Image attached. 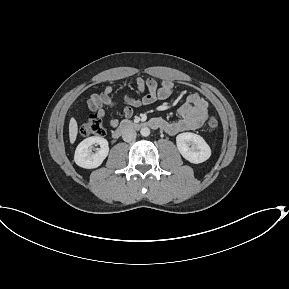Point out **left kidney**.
<instances>
[{
    "mask_svg": "<svg viewBox=\"0 0 289 289\" xmlns=\"http://www.w3.org/2000/svg\"><path fill=\"white\" fill-rule=\"evenodd\" d=\"M176 144L181 155L191 163H202L211 156L209 145L200 135L181 133L176 137Z\"/></svg>",
    "mask_w": 289,
    "mask_h": 289,
    "instance_id": "left-kidney-1",
    "label": "left kidney"
}]
</instances>
